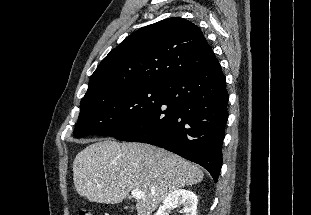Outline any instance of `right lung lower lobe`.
<instances>
[{"instance_id":"98d812e1","label":"right lung lower lobe","mask_w":311,"mask_h":215,"mask_svg":"<svg viewBox=\"0 0 311 215\" xmlns=\"http://www.w3.org/2000/svg\"><path fill=\"white\" fill-rule=\"evenodd\" d=\"M163 88L159 106L114 138L165 148L201 165L217 182L229 99L219 62L174 78Z\"/></svg>"}]
</instances>
